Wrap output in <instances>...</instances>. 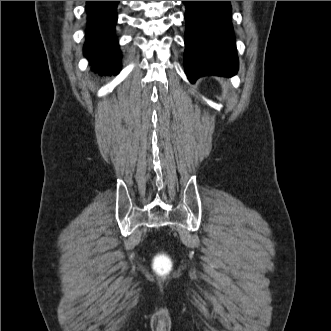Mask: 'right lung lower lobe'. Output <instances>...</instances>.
Instances as JSON below:
<instances>
[{
	"label": "right lung lower lobe",
	"instance_id": "obj_1",
	"mask_svg": "<svg viewBox=\"0 0 331 331\" xmlns=\"http://www.w3.org/2000/svg\"><path fill=\"white\" fill-rule=\"evenodd\" d=\"M119 1H87L88 15L87 40L84 54L94 69L102 74L110 71L118 73L120 51L114 36Z\"/></svg>",
	"mask_w": 331,
	"mask_h": 331
}]
</instances>
